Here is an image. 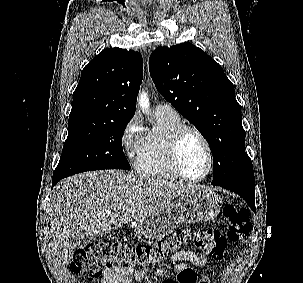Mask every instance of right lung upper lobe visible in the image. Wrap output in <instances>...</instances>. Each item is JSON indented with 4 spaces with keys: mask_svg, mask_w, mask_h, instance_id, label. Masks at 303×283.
Segmentation results:
<instances>
[{
    "mask_svg": "<svg viewBox=\"0 0 303 283\" xmlns=\"http://www.w3.org/2000/svg\"><path fill=\"white\" fill-rule=\"evenodd\" d=\"M143 77L140 53L108 48L93 58L81 73L73 93L69 120L128 121L135 114Z\"/></svg>",
    "mask_w": 303,
    "mask_h": 283,
    "instance_id": "1",
    "label": "right lung upper lobe"
}]
</instances>
